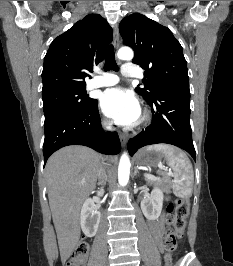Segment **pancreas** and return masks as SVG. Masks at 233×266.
Instances as JSON below:
<instances>
[{"instance_id":"obj_1","label":"pancreas","mask_w":233,"mask_h":266,"mask_svg":"<svg viewBox=\"0 0 233 266\" xmlns=\"http://www.w3.org/2000/svg\"><path fill=\"white\" fill-rule=\"evenodd\" d=\"M157 184L165 186V185L169 184V182L167 180H164V181H158Z\"/></svg>"}]
</instances>
